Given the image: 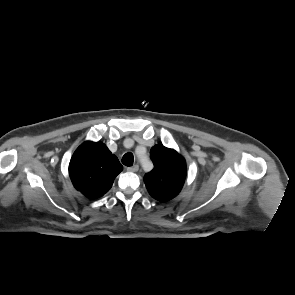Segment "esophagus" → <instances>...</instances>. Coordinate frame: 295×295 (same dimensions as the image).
I'll return each instance as SVG.
<instances>
[{"instance_id":"34e87169","label":"esophagus","mask_w":295,"mask_h":295,"mask_svg":"<svg viewBox=\"0 0 295 295\" xmlns=\"http://www.w3.org/2000/svg\"><path fill=\"white\" fill-rule=\"evenodd\" d=\"M138 169H139V166L138 165H134L132 167H128L127 168V171H129V172H137Z\"/></svg>"}]
</instances>
